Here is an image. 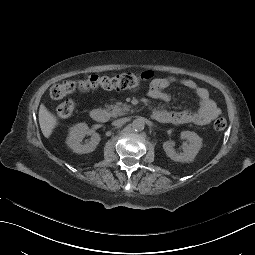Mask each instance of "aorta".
<instances>
[{"label":"aorta","mask_w":255,"mask_h":255,"mask_svg":"<svg viewBox=\"0 0 255 255\" xmlns=\"http://www.w3.org/2000/svg\"><path fill=\"white\" fill-rule=\"evenodd\" d=\"M144 127H145V123H144L143 119L137 118V119L133 120L132 128L135 131H142L144 129Z\"/></svg>","instance_id":"762f6f07"}]
</instances>
